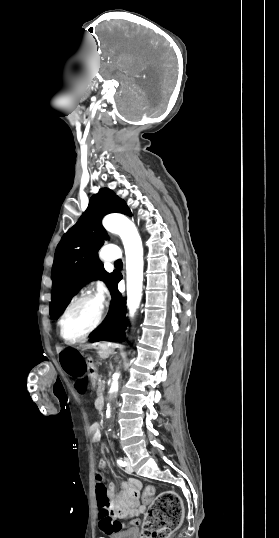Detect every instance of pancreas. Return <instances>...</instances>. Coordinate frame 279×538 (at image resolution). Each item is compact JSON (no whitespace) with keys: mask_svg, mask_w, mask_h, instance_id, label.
<instances>
[{"mask_svg":"<svg viewBox=\"0 0 279 538\" xmlns=\"http://www.w3.org/2000/svg\"><path fill=\"white\" fill-rule=\"evenodd\" d=\"M98 384H99V392H98V395L100 397H104L106 395V387H107V384H106V381L104 379H100L98 381Z\"/></svg>","mask_w":279,"mask_h":538,"instance_id":"1","label":"pancreas"}]
</instances>
